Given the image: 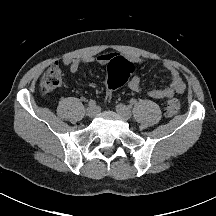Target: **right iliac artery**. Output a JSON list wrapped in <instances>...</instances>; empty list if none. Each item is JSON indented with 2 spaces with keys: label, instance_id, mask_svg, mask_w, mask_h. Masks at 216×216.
Masks as SVG:
<instances>
[{
  "label": "right iliac artery",
  "instance_id": "right-iliac-artery-1",
  "mask_svg": "<svg viewBox=\"0 0 216 216\" xmlns=\"http://www.w3.org/2000/svg\"><path fill=\"white\" fill-rule=\"evenodd\" d=\"M88 104L89 106H96L95 100H90Z\"/></svg>",
  "mask_w": 216,
  "mask_h": 216
}]
</instances>
